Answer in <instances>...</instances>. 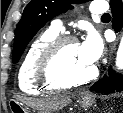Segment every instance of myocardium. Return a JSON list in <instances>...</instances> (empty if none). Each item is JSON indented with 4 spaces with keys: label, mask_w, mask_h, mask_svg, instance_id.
<instances>
[{
    "label": "myocardium",
    "mask_w": 123,
    "mask_h": 113,
    "mask_svg": "<svg viewBox=\"0 0 123 113\" xmlns=\"http://www.w3.org/2000/svg\"><path fill=\"white\" fill-rule=\"evenodd\" d=\"M77 42L73 36H59L44 49L36 66L38 78L43 84L63 89L88 83L96 77L97 68L95 66L88 75L82 78L66 79L60 73L58 62L63 50L68 45L77 44Z\"/></svg>",
    "instance_id": "myocardium-1"
}]
</instances>
